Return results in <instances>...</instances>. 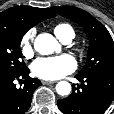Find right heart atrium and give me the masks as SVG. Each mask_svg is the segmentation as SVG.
<instances>
[{
	"mask_svg": "<svg viewBox=\"0 0 114 114\" xmlns=\"http://www.w3.org/2000/svg\"><path fill=\"white\" fill-rule=\"evenodd\" d=\"M34 30L31 29L26 32L20 42L21 52L25 57H29L33 53V39H34Z\"/></svg>",
	"mask_w": 114,
	"mask_h": 114,
	"instance_id": "d8ad5b80",
	"label": "right heart atrium"
}]
</instances>
